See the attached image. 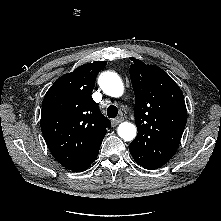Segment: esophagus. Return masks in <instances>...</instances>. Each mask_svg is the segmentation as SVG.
<instances>
[{
    "label": "esophagus",
    "mask_w": 221,
    "mask_h": 221,
    "mask_svg": "<svg viewBox=\"0 0 221 221\" xmlns=\"http://www.w3.org/2000/svg\"><path fill=\"white\" fill-rule=\"evenodd\" d=\"M124 120V118L122 116H119L115 119L112 120V125L113 126H117L119 123H121Z\"/></svg>",
    "instance_id": "34e87169"
}]
</instances>
